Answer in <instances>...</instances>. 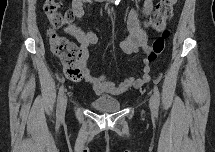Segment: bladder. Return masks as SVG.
<instances>
[{"label":"bladder","mask_w":215,"mask_h":152,"mask_svg":"<svg viewBox=\"0 0 215 152\" xmlns=\"http://www.w3.org/2000/svg\"><path fill=\"white\" fill-rule=\"evenodd\" d=\"M121 107V101L111 97H99L93 102V108L102 113L117 112Z\"/></svg>","instance_id":"31cf9c89"}]
</instances>
